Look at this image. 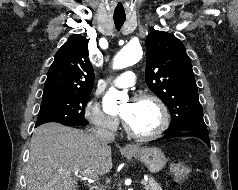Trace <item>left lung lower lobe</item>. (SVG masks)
<instances>
[{
    "label": "left lung lower lobe",
    "mask_w": 238,
    "mask_h": 190,
    "mask_svg": "<svg viewBox=\"0 0 238 190\" xmlns=\"http://www.w3.org/2000/svg\"><path fill=\"white\" fill-rule=\"evenodd\" d=\"M164 134L165 136L161 139H167L177 136H195L204 141L208 146L210 145L208 131L205 124L183 125L175 128H169L164 132Z\"/></svg>",
    "instance_id": "0a47b994"
}]
</instances>
